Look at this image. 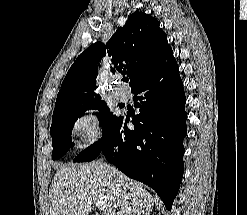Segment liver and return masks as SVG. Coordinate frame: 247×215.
<instances>
[{
  "label": "liver",
  "mask_w": 247,
  "mask_h": 215,
  "mask_svg": "<svg viewBox=\"0 0 247 215\" xmlns=\"http://www.w3.org/2000/svg\"><path fill=\"white\" fill-rule=\"evenodd\" d=\"M98 200L106 205V215H150L154 205L142 184L101 162L71 164L56 172L50 215H88Z\"/></svg>",
  "instance_id": "obj_1"
}]
</instances>
